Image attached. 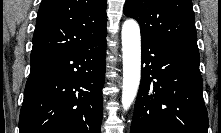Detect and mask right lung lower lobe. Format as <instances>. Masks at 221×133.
<instances>
[{"instance_id": "1", "label": "right lung lower lobe", "mask_w": 221, "mask_h": 133, "mask_svg": "<svg viewBox=\"0 0 221 133\" xmlns=\"http://www.w3.org/2000/svg\"><path fill=\"white\" fill-rule=\"evenodd\" d=\"M106 35L76 50L31 58L20 133H101Z\"/></svg>"}]
</instances>
